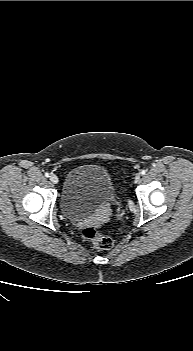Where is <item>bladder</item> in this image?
<instances>
[{"label":"bladder","mask_w":193,"mask_h":351,"mask_svg":"<svg viewBox=\"0 0 193 351\" xmlns=\"http://www.w3.org/2000/svg\"><path fill=\"white\" fill-rule=\"evenodd\" d=\"M116 198L117 189L108 170L101 165L84 164L67 174L60 206L66 218L80 220L95 216Z\"/></svg>","instance_id":"bladder-1"}]
</instances>
